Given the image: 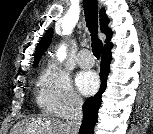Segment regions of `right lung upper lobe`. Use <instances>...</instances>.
<instances>
[{
	"mask_svg": "<svg viewBox=\"0 0 153 134\" xmlns=\"http://www.w3.org/2000/svg\"><path fill=\"white\" fill-rule=\"evenodd\" d=\"M108 23H109V19L107 15L105 14V10L102 9L100 12V27H101V31L105 33L107 36V39L105 41L106 43L105 48L112 46V43L110 42L112 31L110 28H108ZM52 36H53V29L50 28L48 31H46V34L44 35V37H42L40 42L37 44L36 51L34 54V62H33L34 67L38 65L42 54L49 47L52 40Z\"/></svg>",
	"mask_w": 153,
	"mask_h": 134,
	"instance_id": "obj_1",
	"label": "right lung upper lobe"
}]
</instances>
